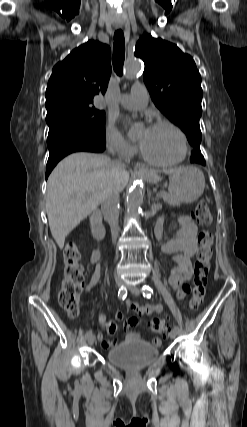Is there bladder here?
<instances>
[{
	"label": "bladder",
	"mask_w": 247,
	"mask_h": 427,
	"mask_svg": "<svg viewBox=\"0 0 247 427\" xmlns=\"http://www.w3.org/2000/svg\"><path fill=\"white\" fill-rule=\"evenodd\" d=\"M159 349L142 340H128L111 347L107 360L123 369L138 370L145 368L157 360Z\"/></svg>",
	"instance_id": "1"
}]
</instances>
